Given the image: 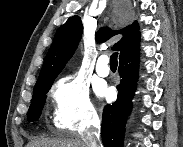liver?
<instances>
[{
    "label": "liver",
    "instance_id": "liver-1",
    "mask_svg": "<svg viewBox=\"0 0 183 147\" xmlns=\"http://www.w3.org/2000/svg\"><path fill=\"white\" fill-rule=\"evenodd\" d=\"M27 147H86L85 143L77 139L42 138L34 140Z\"/></svg>",
    "mask_w": 183,
    "mask_h": 147
}]
</instances>
